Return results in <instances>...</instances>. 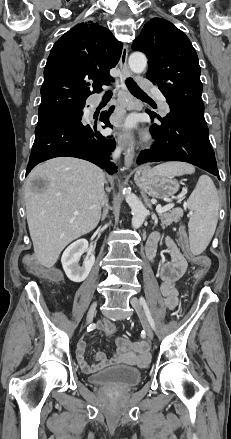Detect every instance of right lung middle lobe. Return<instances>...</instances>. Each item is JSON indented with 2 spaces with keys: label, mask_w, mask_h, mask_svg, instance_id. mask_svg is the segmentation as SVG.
<instances>
[{
  "label": "right lung middle lobe",
  "mask_w": 231,
  "mask_h": 439,
  "mask_svg": "<svg viewBox=\"0 0 231 439\" xmlns=\"http://www.w3.org/2000/svg\"><path fill=\"white\" fill-rule=\"evenodd\" d=\"M79 111L80 110H76V111L64 113V114H61V115H57V116H54V117H51V118L42 119V120L40 119V120H38L37 125H41V124H44V123H47V122H50V121H53V120L70 118L72 116L77 115L79 113Z\"/></svg>",
  "instance_id": "right-lung-middle-lobe-1"
}]
</instances>
